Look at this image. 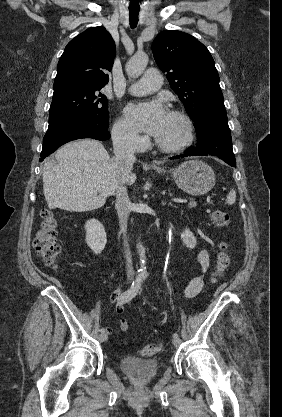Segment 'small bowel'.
<instances>
[{"mask_svg":"<svg viewBox=\"0 0 282 417\" xmlns=\"http://www.w3.org/2000/svg\"><path fill=\"white\" fill-rule=\"evenodd\" d=\"M197 262L200 266V273L192 278L186 288L183 291V295L187 299L194 298L197 296L204 287L205 277L208 273L210 267V256L207 250L202 249L197 254ZM122 289L118 287L112 294H111V301L115 303V311L119 318L120 329L122 332H127L129 329V325L127 319L124 315V306L122 303L119 302V298L121 295ZM106 331L109 333L111 331L110 328H106Z\"/></svg>","mask_w":282,"mask_h":417,"instance_id":"1","label":"small bowel"}]
</instances>
